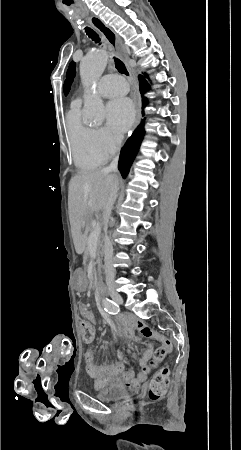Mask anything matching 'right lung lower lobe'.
<instances>
[{"instance_id": "1", "label": "right lung lower lobe", "mask_w": 241, "mask_h": 450, "mask_svg": "<svg viewBox=\"0 0 241 450\" xmlns=\"http://www.w3.org/2000/svg\"><path fill=\"white\" fill-rule=\"evenodd\" d=\"M138 78H139L140 93L143 95L146 91L150 89V85L147 83V81L144 80V76L139 75ZM148 103H149L148 99L146 97H142V109H144V107ZM142 112L144 113V111ZM144 133L145 131L143 120L141 124L137 127V129L134 131L132 136L127 140L126 144L121 150L118 168L124 178L128 174L132 162L135 159V156L137 155Z\"/></svg>"}]
</instances>
